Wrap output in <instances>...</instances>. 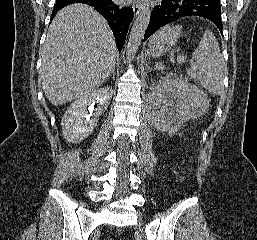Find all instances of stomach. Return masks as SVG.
I'll return each mask as SVG.
<instances>
[{
	"mask_svg": "<svg viewBox=\"0 0 257 240\" xmlns=\"http://www.w3.org/2000/svg\"><path fill=\"white\" fill-rule=\"evenodd\" d=\"M149 50L152 56L160 55L164 51V49L161 50L159 48V44L153 41H150L149 43Z\"/></svg>",
	"mask_w": 257,
	"mask_h": 240,
	"instance_id": "0dacf381",
	"label": "stomach"
}]
</instances>
